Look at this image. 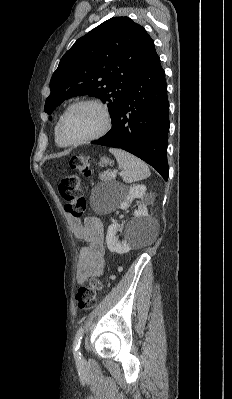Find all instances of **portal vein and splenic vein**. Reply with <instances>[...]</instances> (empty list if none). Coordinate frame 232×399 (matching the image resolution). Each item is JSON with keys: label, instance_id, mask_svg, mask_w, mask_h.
<instances>
[{"label": "portal vein and splenic vein", "instance_id": "18ae733b", "mask_svg": "<svg viewBox=\"0 0 232 399\" xmlns=\"http://www.w3.org/2000/svg\"><path fill=\"white\" fill-rule=\"evenodd\" d=\"M112 176H113V178H114V176H116V172H113Z\"/></svg>", "mask_w": 232, "mask_h": 399}]
</instances>
